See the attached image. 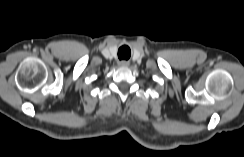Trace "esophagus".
Returning <instances> with one entry per match:
<instances>
[{
	"instance_id": "34e87169",
	"label": "esophagus",
	"mask_w": 244,
	"mask_h": 157,
	"mask_svg": "<svg viewBox=\"0 0 244 157\" xmlns=\"http://www.w3.org/2000/svg\"><path fill=\"white\" fill-rule=\"evenodd\" d=\"M120 65H121V66H126V65H128V63L125 62V61H123V62L120 63Z\"/></svg>"
}]
</instances>
